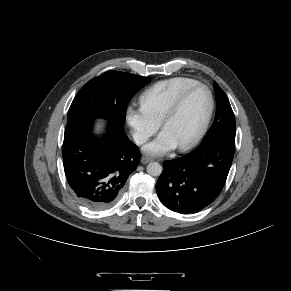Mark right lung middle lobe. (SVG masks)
Returning <instances> with one entry per match:
<instances>
[{
  "mask_svg": "<svg viewBox=\"0 0 291 291\" xmlns=\"http://www.w3.org/2000/svg\"><path fill=\"white\" fill-rule=\"evenodd\" d=\"M150 80V77L118 71H108L90 80L75 96L67 124L102 117L123 126L129 101Z\"/></svg>",
  "mask_w": 291,
  "mask_h": 291,
  "instance_id": "1",
  "label": "right lung middle lobe"
}]
</instances>
